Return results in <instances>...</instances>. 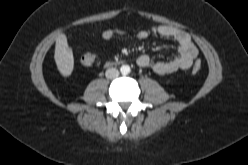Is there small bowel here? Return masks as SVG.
<instances>
[{
    "label": "small bowel",
    "mask_w": 248,
    "mask_h": 165,
    "mask_svg": "<svg viewBox=\"0 0 248 165\" xmlns=\"http://www.w3.org/2000/svg\"><path fill=\"white\" fill-rule=\"evenodd\" d=\"M151 33L173 40L177 44L179 54L166 61H154L149 55L142 54L136 60L139 67L150 69L159 75H167L179 70L189 69L193 65L198 50L187 32L173 26L159 25L153 27L150 31L141 30L137 32L133 35V39L145 40ZM101 36L104 40H109L116 37H127L128 33L122 29L112 28L105 30Z\"/></svg>",
    "instance_id": "obj_1"
}]
</instances>
